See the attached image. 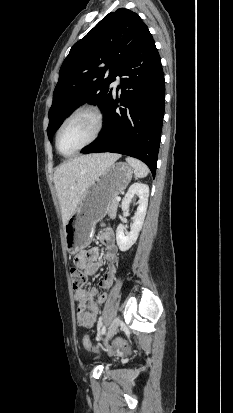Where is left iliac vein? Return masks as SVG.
<instances>
[{
    "mask_svg": "<svg viewBox=\"0 0 233 413\" xmlns=\"http://www.w3.org/2000/svg\"><path fill=\"white\" fill-rule=\"evenodd\" d=\"M120 324V318L119 317H115L109 327V330L107 332L106 338H105V343H107L113 336L114 334L117 332L118 327Z\"/></svg>",
    "mask_w": 233,
    "mask_h": 413,
    "instance_id": "4c4485c4",
    "label": "left iliac vein"
}]
</instances>
